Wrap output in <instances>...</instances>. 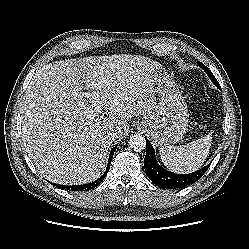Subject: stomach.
Listing matches in <instances>:
<instances>
[{"mask_svg":"<svg viewBox=\"0 0 249 249\" xmlns=\"http://www.w3.org/2000/svg\"><path fill=\"white\" fill-rule=\"evenodd\" d=\"M156 90L159 103L154 112L138 121L137 126L145 128L160 147L176 144L186 134L189 114L179 86L161 64L156 68Z\"/></svg>","mask_w":249,"mask_h":249,"instance_id":"obj_1","label":"stomach"}]
</instances>
